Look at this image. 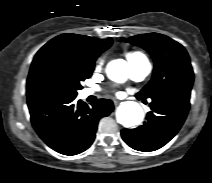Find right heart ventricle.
<instances>
[{"label":"right heart ventricle","mask_w":212,"mask_h":183,"mask_svg":"<svg viewBox=\"0 0 212 183\" xmlns=\"http://www.w3.org/2000/svg\"><path fill=\"white\" fill-rule=\"evenodd\" d=\"M142 58L146 59V57L140 52H131V53L127 54L128 62H132V61L142 59Z\"/></svg>","instance_id":"1"}]
</instances>
